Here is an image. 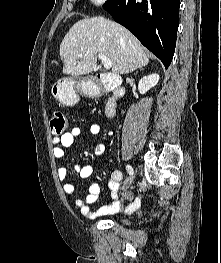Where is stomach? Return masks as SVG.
<instances>
[{
	"label": "stomach",
	"mask_w": 221,
	"mask_h": 263,
	"mask_svg": "<svg viewBox=\"0 0 221 263\" xmlns=\"http://www.w3.org/2000/svg\"><path fill=\"white\" fill-rule=\"evenodd\" d=\"M88 82L78 77H65L51 86L52 96L65 106H73L79 100V92H88Z\"/></svg>",
	"instance_id": "0dacf381"
}]
</instances>
